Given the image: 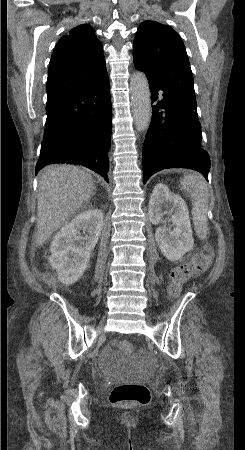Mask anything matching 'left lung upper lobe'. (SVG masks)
<instances>
[{
	"label": "left lung upper lobe",
	"mask_w": 245,
	"mask_h": 450,
	"mask_svg": "<svg viewBox=\"0 0 245 450\" xmlns=\"http://www.w3.org/2000/svg\"><path fill=\"white\" fill-rule=\"evenodd\" d=\"M134 66L147 76L156 77L196 106L193 74L179 34L155 21L140 24L133 42Z\"/></svg>",
	"instance_id": "1"
}]
</instances>
